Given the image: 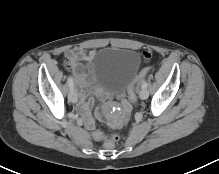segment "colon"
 Segmentation results:
<instances>
[{"mask_svg":"<svg viewBox=\"0 0 219 174\" xmlns=\"http://www.w3.org/2000/svg\"><path fill=\"white\" fill-rule=\"evenodd\" d=\"M149 70V68L142 69L130 83L128 87V99L131 103L135 104L137 102V88L140 84V81L148 74ZM92 136L95 140H104L106 147L109 149L113 148L115 142L120 140L119 134L105 136L104 133L99 130L94 131Z\"/></svg>","mask_w":219,"mask_h":174,"instance_id":"obj_1","label":"colon"}]
</instances>
